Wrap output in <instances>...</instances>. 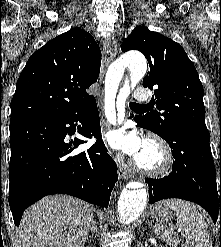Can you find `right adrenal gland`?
I'll use <instances>...</instances> for the list:
<instances>
[{"mask_svg":"<svg viewBox=\"0 0 221 247\" xmlns=\"http://www.w3.org/2000/svg\"><path fill=\"white\" fill-rule=\"evenodd\" d=\"M97 232H98V229H97V225H96V222L95 221H92V226L90 228V236H94L95 238L97 237Z\"/></svg>","mask_w":221,"mask_h":247,"instance_id":"1","label":"right adrenal gland"}]
</instances>
